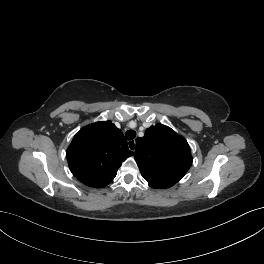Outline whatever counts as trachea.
<instances>
[{
	"mask_svg": "<svg viewBox=\"0 0 264 264\" xmlns=\"http://www.w3.org/2000/svg\"><path fill=\"white\" fill-rule=\"evenodd\" d=\"M136 136V132L134 130H128L126 133H125V137L127 140H132L134 139Z\"/></svg>",
	"mask_w": 264,
	"mask_h": 264,
	"instance_id": "1",
	"label": "trachea"
}]
</instances>
